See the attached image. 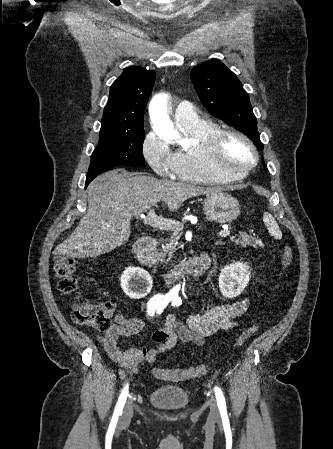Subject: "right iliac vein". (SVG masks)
I'll return each mask as SVG.
<instances>
[{"label":"right iliac vein","instance_id":"63e3f726","mask_svg":"<svg viewBox=\"0 0 333 449\" xmlns=\"http://www.w3.org/2000/svg\"><path fill=\"white\" fill-rule=\"evenodd\" d=\"M133 415L132 401L128 400L126 405L124 406L122 415L119 420V425L126 426L130 423Z\"/></svg>","mask_w":333,"mask_h":449}]
</instances>
